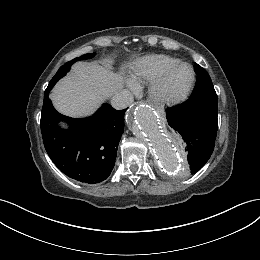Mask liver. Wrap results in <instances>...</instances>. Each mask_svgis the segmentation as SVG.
I'll return each instance as SVG.
<instances>
[{
  "label": "liver",
  "mask_w": 260,
  "mask_h": 260,
  "mask_svg": "<svg viewBox=\"0 0 260 260\" xmlns=\"http://www.w3.org/2000/svg\"><path fill=\"white\" fill-rule=\"evenodd\" d=\"M123 84L122 73H114L108 64L78 62L71 73L55 85L50 98L60 113L86 117L102 101L121 90Z\"/></svg>",
  "instance_id": "6515ba94"
}]
</instances>
